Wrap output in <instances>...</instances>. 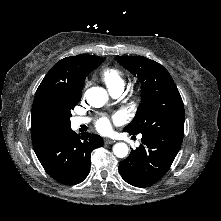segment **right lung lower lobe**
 Wrapping results in <instances>:
<instances>
[{
    "label": "right lung lower lobe",
    "mask_w": 221,
    "mask_h": 221,
    "mask_svg": "<svg viewBox=\"0 0 221 221\" xmlns=\"http://www.w3.org/2000/svg\"><path fill=\"white\" fill-rule=\"evenodd\" d=\"M103 146L102 137L83 133L77 135L71 128L40 144L34 151L45 171L65 185L82 182L90 172L93 149Z\"/></svg>",
    "instance_id": "98d812e1"
}]
</instances>
